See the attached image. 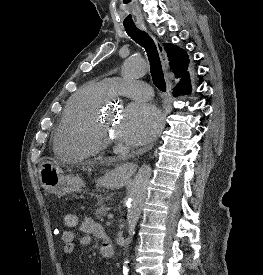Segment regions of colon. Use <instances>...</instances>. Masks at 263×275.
<instances>
[{
  "label": "colon",
  "instance_id": "5ec220e1",
  "mask_svg": "<svg viewBox=\"0 0 263 275\" xmlns=\"http://www.w3.org/2000/svg\"><path fill=\"white\" fill-rule=\"evenodd\" d=\"M63 223H64L65 227L73 228L77 225L78 220H77L76 215H74L72 213H67L63 217Z\"/></svg>",
  "mask_w": 263,
  "mask_h": 275
}]
</instances>
